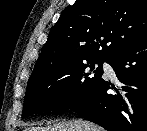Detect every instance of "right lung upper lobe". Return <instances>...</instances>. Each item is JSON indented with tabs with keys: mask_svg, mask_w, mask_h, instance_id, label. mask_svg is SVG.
<instances>
[{
	"mask_svg": "<svg viewBox=\"0 0 147 131\" xmlns=\"http://www.w3.org/2000/svg\"><path fill=\"white\" fill-rule=\"evenodd\" d=\"M145 37L147 0H77L51 29L31 77L88 59L109 60Z\"/></svg>",
	"mask_w": 147,
	"mask_h": 131,
	"instance_id": "cb5924a9",
	"label": "right lung upper lobe"
}]
</instances>
